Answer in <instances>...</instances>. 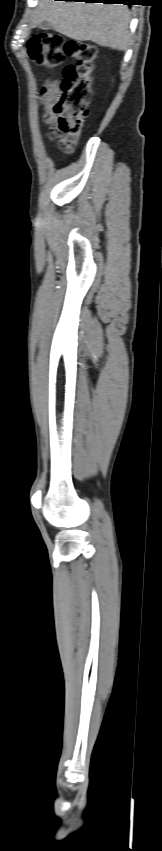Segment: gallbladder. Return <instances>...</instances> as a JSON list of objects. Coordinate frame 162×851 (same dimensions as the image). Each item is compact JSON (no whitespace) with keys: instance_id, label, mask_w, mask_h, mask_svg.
<instances>
[{"instance_id":"1","label":"gallbladder","mask_w":162,"mask_h":851,"mask_svg":"<svg viewBox=\"0 0 162 851\" xmlns=\"http://www.w3.org/2000/svg\"><path fill=\"white\" fill-rule=\"evenodd\" d=\"M39 28L42 30H49L51 28V25L48 21H43L39 24Z\"/></svg>"}]
</instances>
